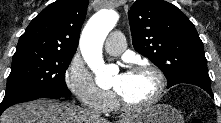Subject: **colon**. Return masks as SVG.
<instances>
[{
  "mask_svg": "<svg viewBox=\"0 0 221 123\" xmlns=\"http://www.w3.org/2000/svg\"><path fill=\"white\" fill-rule=\"evenodd\" d=\"M191 123H204L202 120L196 118L191 121Z\"/></svg>",
  "mask_w": 221,
  "mask_h": 123,
  "instance_id": "obj_1",
  "label": "colon"
}]
</instances>
